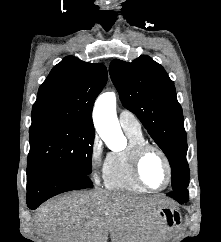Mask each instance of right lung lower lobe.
Here are the masks:
<instances>
[{"instance_id":"right-lung-lower-lobe-1","label":"right lung lower lobe","mask_w":221,"mask_h":242,"mask_svg":"<svg viewBox=\"0 0 221 242\" xmlns=\"http://www.w3.org/2000/svg\"><path fill=\"white\" fill-rule=\"evenodd\" d=\"M89 176L61 168L34 167L27 170V205L36 209L47 199L75 189L92 188Z\"/></svg>"}]
</instances>
